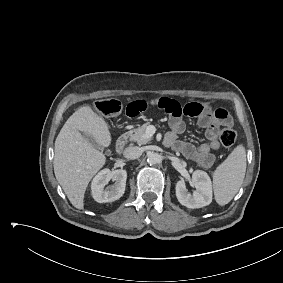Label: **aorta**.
<instances>
[{"label": "aorta", "instance_id": "obj_1", "mask_svg": "<svg viewBox=\"0 0 283 283\" xmlns=\"http://www.w3.org/2000/svg\"><path fill=\"white\" fill-rule=\"evenodd\" d=\"M162 161V157L160 154L158 153H150L148 155V158H147V162L150 164V165H153V164H157V163H160Z\"/></svg>", "mask_w": 283, "mask_h": 283}]
</instances>
